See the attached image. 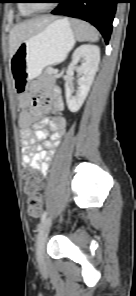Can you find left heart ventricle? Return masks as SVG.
Masks as SVG:
<instances>
[{"label": "left heart ventricle", "instance_id": "b2bd125f", "mask_svg": "<svg viewBox=\"0 0 136 296\" xmlns=\"http://www.w3.org/2000/svg\"><path fill=\"white\" fill-rule=\"evenodd\" d=\"M35 4H36L37 6H44V5H46L47 3H43L41 0H37Z\"/></svg>", "mask_w": 136, "mask_h": 296}]
</instances>
